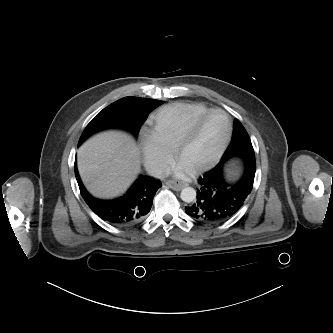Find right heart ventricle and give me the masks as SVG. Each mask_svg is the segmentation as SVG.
<instances>
[{
	"label": "right heart ventricle",
	"mask_w": 333,
	"mask_h": 333,
	"mask_svg": "<svg viewBox=\"0 0 333 333\" xmlns=\"http://www.w3.org/2000/svg\"><path fill=\"white\" fill-rule=\"evenodd\" d=\"M210 108L197 102H175L160 108L151 118L152 131L171 149L197 117Z\"/></svg>",
	"instance_id": "e07e8e85"
}]
</instances>
